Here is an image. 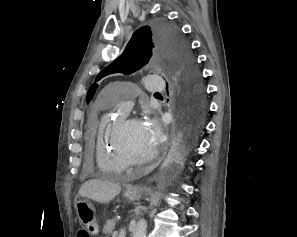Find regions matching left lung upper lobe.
Here are the masks:
<instances>
[{
    "label": "left lung upper lobe",
    "instance_id": "left-lung-upper-lobe-1",
    "mask_svg": "<svg viewBox=\"0 0 297 237\" xmlns=\"http://www.w3.org/2000/svg\"><path fill=\"white\" fill-rule=\"evenodd\" d=\"M153 52L167 54L177 63L181 94L199 106L205 105L204 87L189 47L179 30L163 21L157 22L153 28L143 26L138 29L125 51L99 73L95 82L109 74L135 72L147 63ZM97 87L98 84H92L87 94V102L93 98Z\"/></svg>",
    "mask_w": 297,
    "mask_h": 237
}]
</instances>
